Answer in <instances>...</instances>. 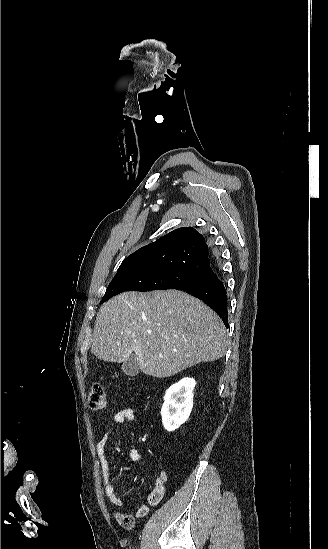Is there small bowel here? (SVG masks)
Returning a JSON list of instances; mask_svg holds the SVG:
<instances>
[{
	"mask_svg": "<svg viewBox=\"0 0 328 549\" xmlns=\"http://www.w3.org/2000/svg\"><path fill=\"white\" fill-rule=\"evenodd\" d=\"M110 421L113 425L122 424L130 426L135 421V410L132 407H126L124 409L118 410L111 415ZM109 436L110 434L109 432H107L99 440L96 445V453L100 463L101 475L106 495L113 506H122L123 502L118 495L117 487L113 484L111 480L110 465L106 451ZM129 456L133 461H140L143 458V455L134 448H131L129 450ZM167 479L168 476L166 471L162 468H159L153 489L147 497V502L150 506H154L162 500ZM146 512L147 507L143 506L138 509L137 514L144 515L146 514Z\"/></svg>",
	"mask_w": 328,
	"mask_h": 549,
	"instance_id": "obj_1",
	"label": "small bowel"
}]
</instances>
